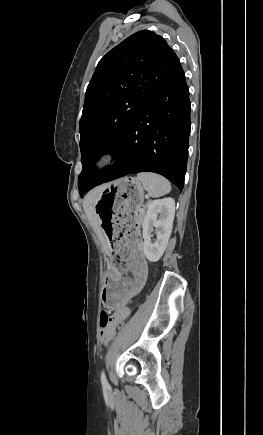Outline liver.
<instances>
[{"label":"liver","mask_w":263,"mask_h":435,"mask_svg":"<svg viewBox=\"0 0 263 435\" xmlns=\"http://www.w3.org/2000/svg\"><path fill=\"white\" fill-rule=\"evenodd\" d=\"M104 187H105V185L104 186H100V187L95 188L94 190H92L85 197V200L83 202L84 211H85L88 219L92 223V226H93L95 232L100 237V239H101L103 244L105 243L104 237H103V231H102V228L100 226L98 217L96 216L94 204H95V200H96L97 196L103 190Z\"/></svg>","instance_id":"liver-1"}]
</instances>
